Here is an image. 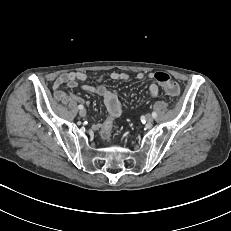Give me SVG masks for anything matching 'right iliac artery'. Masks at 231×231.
<instances>
[{
    "label": "right iliac artery",
    "instance_id": "obj_1",
    "mask_svg": "<svg viewBox=\"0 0 231 231\" xmlns=\"http://www.w3.org/2000/svg\"><path fill=\"white\" fill-rule=\"evenodd\" d=\"M78 108L81 110V109H83L84 107H83V105L80 104V105L78 106Z\"/></svg>",
    "mask_w": 231,
    "mask_h": 231
}]
</instances>
